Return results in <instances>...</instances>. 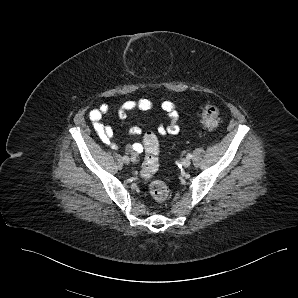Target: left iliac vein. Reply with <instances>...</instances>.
I'll list each match as a JSON object with an SVG mask.
<instances>
[{"label": "left iliac vein", "mask_w": 298, "mask_h": 298, "mask_svg": "<svg viewBox=\"0 0 298 298\" xmlns=\"http://www.w3.org/2000/svg\"><path fill=\"white\" fill-rule=\"evenodd\" d=\"M181 164H182V166H183L184 168H187V167L190 166L191 161H190L189 158H184V159L182 160Z\"/></svg>", "instance_id": "obj_1"}]
</instances>
